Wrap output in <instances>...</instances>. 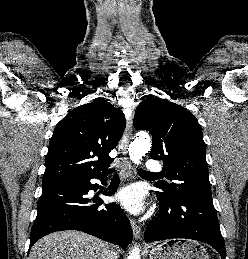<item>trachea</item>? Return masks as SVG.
Segmentation results:
<instances>
[{"instance_id": "3493384b", "label": "trachea", "mask_w": 248, "mask_h": 259, "mask_svg": "<svg viewBox=\"0 0 248 259\" xmlns=\"http://www.w3.org/2000/svg\"><path fill=\"white\" fill-rule=\"evenodd\" d=\"M138 171H139L140 174L155 175V176L158 175V174L150 173V172H148L146 170H143V169H139Z\"/></svg>"}]
</instances>
